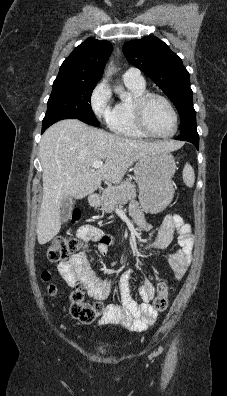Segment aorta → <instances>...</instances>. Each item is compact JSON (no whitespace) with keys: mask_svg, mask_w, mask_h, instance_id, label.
I'll use <instances>...</instances> for the list:
<instances>
[{"mask_svg":"<svg viewBox=\"0 0 227 396\" xmlns=\"http://www.w3.org/2000/svg\"><path fill=\"white\" fill-rule=\"evenodd\" d=\"M111 74H112V68L109 67L108 68V72H107V76L109 77V76H111ZM116 93H118L121 98L126 96V93L124 91H122V90H119V89L116 90Z\"/></svg>","mask_w":227,"mask_h":396,"instance_id":"obj_1","label":"aorta"}]
</instances>
